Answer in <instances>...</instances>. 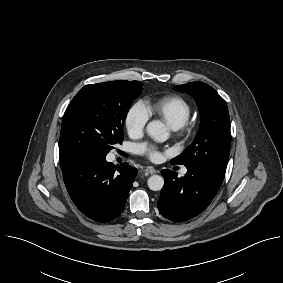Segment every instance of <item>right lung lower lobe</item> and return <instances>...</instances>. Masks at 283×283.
<instances>
[{"label":"right lung lower lobe","instance_id":"obj_1","mask_svg":"<svg viewBox=\"0 0 283 283\" xmlns=\"http://www.w3.org/2000/svg\"><path fill=\"white\" fill-rule=\"evenodd\" d=\"M105 157L85 155L63 171L64 183L76 207L97 222L111 221L122 213L138 172L127 163L115 166Z\"/></svg>","mask_w":283,"mask_h":283}]
</instances>
